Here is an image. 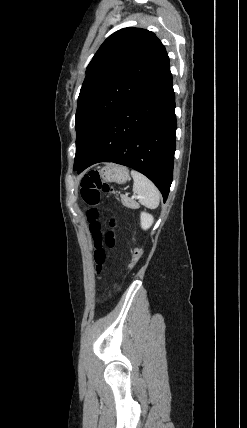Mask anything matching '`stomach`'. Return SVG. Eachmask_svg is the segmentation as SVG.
Masks as SVG:
<instances>
[{
	"instance_id": "stomach-1",
	"label": "stomach",
	"mask_w": 247,
	"mask_h": 428,
	"mask_svg": "<svg viewBox=\"0 0 247 428\" xmlns=\"http://www.w3.org/2000/svg\"><path fill=\"white\" fill-rule=\"evenodd\" d=\"M100 176L105 182L124 184L129 180V170L122 165L107 164L100 170Z\"/></svg>"
}]
</instances>
